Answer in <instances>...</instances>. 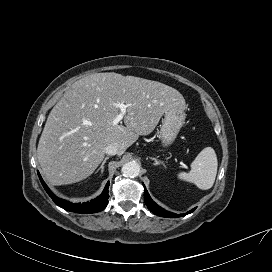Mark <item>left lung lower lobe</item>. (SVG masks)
Returning <instances> with one entry per match:
<instances>
[{"label": "left lung lower lobe", "mask_w": 272, "mask_h": 272, "mask_svg": "<svg viewBox=\"0 0 272 272\" xmlns=\"http://www.w3.org/2000/svg\"><path fill=\"white\" fill-rule=\"evenodd\" d=\"M143 186H144V200H145V203H146L148 209L151 212H153L155 215H158V216H161V217L176 218V217L184 216V215L189 214V213L194 211V209H193V210H190L189 212H187L186 214H180V215L175 214V213H170V212L164 210L163 208H161L160 206H158L151 199V197L149 196L144 184H143Z\"/></svg>", "instance_id": "1"}]
</instances>
